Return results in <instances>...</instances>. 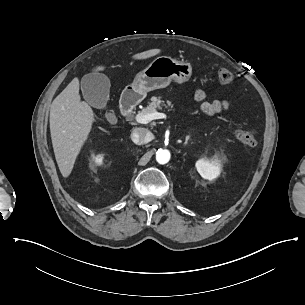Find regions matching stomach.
<instances>
[{"label":"stomach","instance_id":"0dacf381","mask_svg":"<svg viewBox=\"0 0 305 305\" xmlns=\"http://www.w3.org/2000/svg\"><path fill=\"white\" fill-rule=\"evenodd\" d=\"M192 74L193 68L188 61L167 56L157 57L146 69L136 75L132 84L125 88V91L129 92L127 99L139 103L148 92L166 88L171 81L184 84L191 79Z\"/></svg>","mask_w":305,"mask_h":305}]
</instances>
